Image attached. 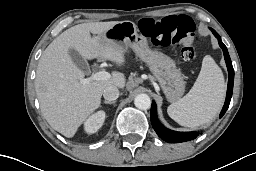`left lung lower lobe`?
I'll list each match as a JSON object with an SVG mask.
<instances>
[{"mask_svg":"<svg viewBox=\"0 0 256 171\" xmlns=\"http://www.w3.org/2000/svg\"><path fill=\"white\" fill-rule=\"evenodd\" d=\"M211 30H212L213 34L215 35V37L218 38L219 45L223 50L226 65H227L228 72H229V80H228V89H227L226 100H225V104L223 106V109H222V111L219 115V118H222V116L225 114V112L227 111V109L229 107L230 100H231V97H232L233 82H234V69H233L231 59H230V56H229V53H228V50H227L226 46L222 43L221 38L218 35V33L213 29H211ZM150 118H151L152 127L156 131L157 135L161 139L165 140L166 142L180 143V142L193 140L197 136H199V132H196V131L177 132V131H173V130H170V129H167L166 127H164L159 122V120L157 118V108H156V103L154 101H152Z\"/></svg>","mask_w":256,"mask_h":171,"instance_id":"1","label":"left lung lower lobe"}]
</instances>
